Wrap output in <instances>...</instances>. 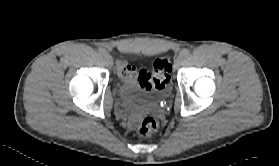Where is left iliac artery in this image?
<instances>
[{
  "label": "left iliac artery",
  "mask_w": 279,
  "mask_h": 166,
  "mask_svg": "<svg viewBox=\"0 0 279 166\" xmlns=\"http://www.w3.org/2000/svg\"><path fill=\"white\" fill-rule=\"evenodd\" d=\"M190 54L189 50L188 49H183L181 52H180V56H183V57H186Z\"/></svg>",
  "instance_id": "1"
}]
</instances>
